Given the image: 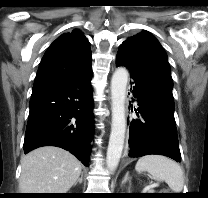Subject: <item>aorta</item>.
<instances>
[{
    "instance_id": "762f6f07",
    "label": "aorta",
    "mask_w": 208,
    "mask_h": 198,
    "mask_svg": "<svg viewBox=\"0 0 208 198\" xmlns=\"http://www.w3.org/2000/svg\"><path fill=\"white\" fill-rule=\"evenodd\" d=\"M128 71L119 67L111 79L112 124L106 164L109 171L117 168L124 146L126 132L125 99Z\"/></svg>"
}]
</instances>
